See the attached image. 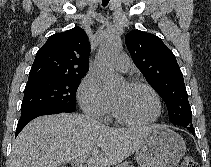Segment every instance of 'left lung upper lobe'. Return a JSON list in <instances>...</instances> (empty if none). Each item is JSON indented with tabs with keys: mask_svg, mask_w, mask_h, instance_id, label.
Here are the masks:
<instances>
[{
	"mask_svg": "<svg viewBox=\"0 0 211 167\" xmlns=\"http://www.w3.org/2000/svg\"><path fill=\"white\" fill-rule=\"evenodd\" d=\"M125 42L134 64L165 101L170 121L192 127L183 74L172 51L156 35L140 30L130 31Z\"/></svg>",
	"mask_w": 211,
	"mask_h": 167,
	"instance_id": "left-lung-upper-lobe-1",
	"label": "left lung upper lobe"
}]
</instances>
